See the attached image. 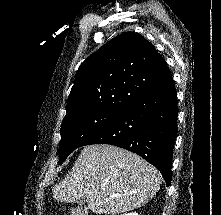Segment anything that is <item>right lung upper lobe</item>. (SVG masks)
Wrapping results in <instances>:
<instances>
[{
    "label": "right lung upper lobe",
    "mask_w": 221,
    "mask_h": 215,
    "mask_svg": "<svg viewBox=\"0 0 221 215\" xmlns=\"http://www.w3.org/2000/svg\"><path fill=\"white\" fill-rule=\"evenodd\" d=\"M170 77L165 60L150 42L138 33H123L80 65L66 115L89 109L122 113Z\"/></svg>",
    "instance_id": "cb5924a9"
}]
</instances>
